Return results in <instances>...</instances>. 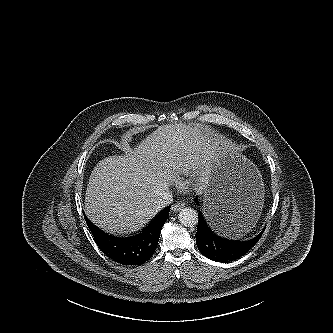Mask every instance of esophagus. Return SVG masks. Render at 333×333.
I'll return each mask as SVG.
<instances>
[{
	"mask_svg": "<svg viewBox=\"0 0 333 333\" xmlns=\"http://www.w3.org/2000/svg\"><path fill=\"white\" fill-rule=\"evenodd\" d=\"M185 206V203L184 202H177L175 204L172 205V210L174 212H178L180 211L183 207Z\"/></svg>",
	"mask_w": 333,
	"mask_h": 333,
	"instance_id": "1",
	"label": "esophagus"
}]
</instances>
